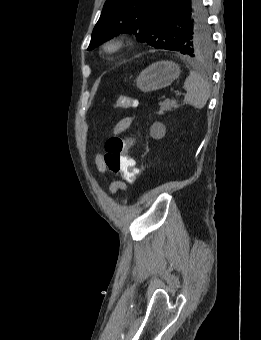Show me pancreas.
Returning <instances> with one entry per match:
<instances>
[{
	"label": "pancreas",
	"mask_w": 261,
	"mask_h": 340,
	"mask_svg": "<svg viewBox=\"0 0 261 340\" xmlns=\"http://www.w3.org/2000/svg\"><path fill=\"white\" fill-rule=\"evenodd\" d=\"M160 110L158 112L159 115L164 114V112L171 111L172 108H178V102L176 100L166 99L165 101L159 103Z\"/></svg>",
	"instance_id": "pancreas-1"
}]
</instances>
